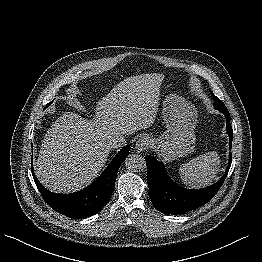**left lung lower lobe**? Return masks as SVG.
Segmentation results:
<instances>
[{"label": "left lung lower lobe", "instance_id": "0a47b994", "mask_svg": "<svg viewBox=\"0 0 262 262\" xmlns=\"http://www.w3.org/2000/svg\"><path fill=\"white\" fill-rule=\"evenodd\" d=\"M217 109V108H216ZM226 119V130L230 139V150L232 146L233 130L230 125V115L228 110L218 109ZM231 153H229V163L224 176L215 184L199 190L183 188L175 184L167 175L165 167L155 156H146L147 181L149 196L154 207L164 214H183L199 208L210 201L222 186L230 165Z\"/></svg>", "mask_w": 262, "mask_h": 262}]
</instances>
